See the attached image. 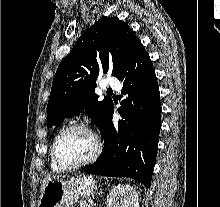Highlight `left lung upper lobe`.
Returning <instances> with one entry per match:
<instances>
[{
  "label": "left lung upper lobe",
  "instance_id": "left-lung-upper-lobe-1",
  "mask_svg": "<svg viewBox=\"0 0 220 207\" xmlns=\"http://www.w3.org/2000/svg\"><path fill=\"white\" fill-rule=\"evenodd\" d=\"M140 43L117 17H102L86 30L58 66L47 104V127L86 111L101 129L112 101H98L95 81L109 70L117 77Z\"/></svg>",
  "mask_w": 220,
  "mask_h": 207
}]
</instances>
